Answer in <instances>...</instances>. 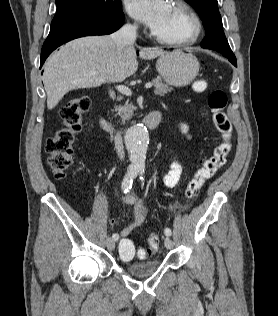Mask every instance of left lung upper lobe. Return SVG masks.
Wrapping results in <instances>:
<instances>
[{
  "label": "left lung upper lobe",
  "mask_w": 278,
  "mask_h": 316,
  "mask_svg": "<svg viewBox=\"0 0 278 316\" xmlns=\"http://www.w3.org/2000/svg\"><path fill=\"white\" fill-rule=\"evenodd\" d=\"M199 14L203 21L206 36L201 46L222 53L229 61L237 64L225 34L222 29V19L218 10L217 0H185Z\"/></svg>",
  "instance_id": "left-lung-upper-lobe-1"
}]
</instances>
